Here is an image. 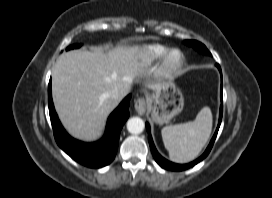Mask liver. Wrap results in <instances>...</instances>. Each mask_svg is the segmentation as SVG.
<instances>
[{
    "label": "liver",
    "mask_w": 272,
    "mask_h": 198,
    "mask_svg": "<svg viewBox=\"0 0 272 198\" xmlns=\"http://www.w3.org/2000/svg\"><path fill=\"white\" fill-rule=\"evenodd\" d=\"M149 57L137 46L106 50H74L62 54L52 73V94L58 116L70 135L86 142L97 140L106 119L119 101L110 97L118 88L129 92L136 77L145 74ZM156 90L160 84L148 83Z\"/></svg>",
    "instance_id": "obj_1"
}]
</instances>
